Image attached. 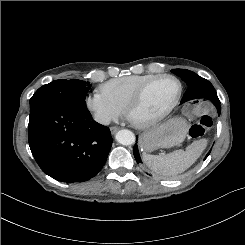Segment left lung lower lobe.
I'll list each match as a JSON object with an SVG mask.
<instances>
[{"instance_id": "0a47b994", "label": "left lung lower lobe", "mask_w": 245, "mask_h": 245, "mask_svg": "<svg viewBox=\"0 0 245 245\" xmlns=\"http://www.w3.org/2000/svg\"><path fill=\"white\" fill-rule=\"evenodd\" d=\"M217 108V111H218V115H220V112H221V106H220V101L218 99V97H212L209 99ZM137 138V136H136ZM133 153H134V157L136 159V162L137 163H141V159H140V155H139V152H138V146H137V143L135 144L134 148H133ZM210 153V152H209ZM209 153L206 155V157L209 155ZM205 157V159H206Z\"/></svg>"}]
</instances>
